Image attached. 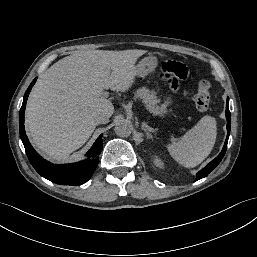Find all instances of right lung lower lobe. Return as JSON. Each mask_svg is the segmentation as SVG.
<instances>
[{
    "instance_id": "obj_1",
    "label": "right lung lower lobe",
    "mask_w": 257,
    "mask_h": 257,
    "mask_svg": "<svg viewBox=\"0 0 257 257\" xmlns=\"http://www.w3.org/2000/svg\"><path fill=\"white\" fill-rule=\"evenodd\" d=\"M36 80L37 78H35L28 87L24 95L23 104L19 114V131L28 159L34 169L41 176L50 180L51 182L61 185H81L91 178L93 172L98 165L99 159L97 156L98 154H100L103 148L102 134L97 138L91 149L86 153V156L88 157V159L86 160L74 164L58 165L52 164L44 160L40 155L37 154V152L29 143L24 129V111L26 107V102L31 88L35 84ZM78 167H81V169L75 170Z\"/></svg>"
}]
</instances>
